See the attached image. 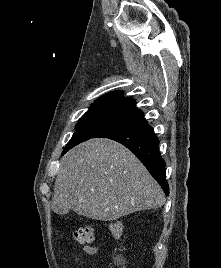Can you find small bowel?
Here are the masks:
<instances>
[{
	"label": "small bowel",
	"instance_id": "1",
	"mask_svg": "<svg viewBox=\"0 0 221 268\" xmlns=\"http://www.w3.org/2000/svg\"><path fill=\"white\" fill-rule=\"evenodd\" d=\"M82 251L85 253L87 258H77L76 263L78 265H85L88 262V257L93 256L97 252V248L94 245H87L82 247ZM91 268V267H90Z\"/></svg>",
	"mask_w": 221,
	"mask_h": 268
}]
</instances>
